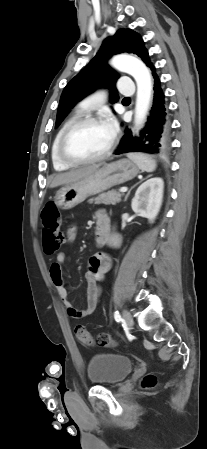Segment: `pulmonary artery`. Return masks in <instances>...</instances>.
<instances>
[{"label": "pulmonary artery", "instance_id": "pulmonary-artery-1", "mask_svg": "<svg viewBox=\"0 0 207 449\" xmlns=\"http://www.w3.org/2000/svg\"><path fill=\"white\" fill-rule=\"evenodd\" d=\"M119 92L122 95L131 96L135 92V87L130 78H125L122 81V85L119 87ZM106 97V91L100 90L96 93L85 98L80 104V108L82 110H91L97 105L101 104L104 98Z\"/></svg>", "mask_w": 207, "mask_h": 449}]
</instances>
